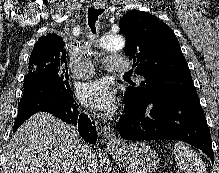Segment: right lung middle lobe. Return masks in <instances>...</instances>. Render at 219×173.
<instances>
[{"label": "right lung middle lobe", "instance_id": "dd1d6c3e", "mask_svg": "<svg viewBox=\"0 0 219 173\" xmlns=\"http://www.w3.org/2000/svg\"><path fill=\"white\" fill-rule=\"evenodd\" d=\"M43 81L58 86L65 95L72 94L68 83L67 69L51 62H29L28 73L24 78V92Z\"/></svg>", "mask_w": 219, "mask_h": 173}]
</instances>
